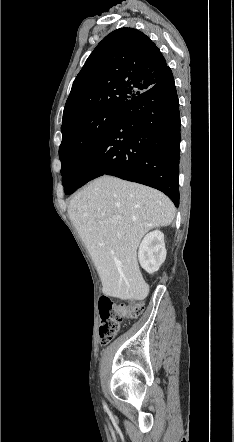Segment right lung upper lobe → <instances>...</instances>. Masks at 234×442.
<instances>
[{
    "label": "right lung upper lobe",
    "mask_w": 234,
    "mask_h": 442,
    "mask_svg": "<svg viewBox=\"0 0 234 442\" xmlns=\"http://www.w3.org/2000/svg\"><path fill=\"white\" fill-rule=\"evenodd\" d=\"M168 68L148 36L133 28L107 35L74 80L63 112L61 129L89 113L122 107L148 90Z\"/></svg>",
    "instance_id": "obj_1"
}]
</instances>
